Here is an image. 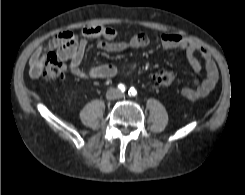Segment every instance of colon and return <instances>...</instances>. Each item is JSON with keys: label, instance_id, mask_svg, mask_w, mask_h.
I'll use <instances>...</instances> for the list:
<instances>
[{"label": "colon", "instance_id": "5ec220e1", "mask_svg": "<svg viewBox=\"0 0 245 195\" xmlns=\"http://www.w3.org/2000/svg\"><path fill=\"white\" fill-rule=\"evenodd\" d=\"M66 72V64L59 60L54 53H48L45 60L43 78L46 81H54L63 78ZM151 79L153 86L161 89L172 83L174 75L170 70L160 69L152 74Z\"/></svg>", "mask_w": 245, "mask_h": 195}]
</instances>
